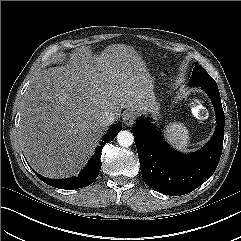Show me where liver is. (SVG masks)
Here are the masks:
<instances>
[{
  "label": "liver",
  "instance_id": "obj_1",
  "mask_svg": "<svg viewBox=\"0 0 241 241\" xmlns=\"http://www.w3.org/2000/svg\"><path fill=\"white\" fill-rule=\"evenodd\" d=\"M154 78L142 57L125 44L73 54L66 66L38 72L25 93L19 125L27 161L47 178L77 174L107 126L106 112L154 109Z\"/></svg>",
  "mask_w": 241,
  "mask_h": 241
}]
</instances>
